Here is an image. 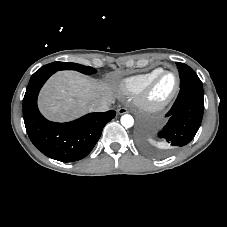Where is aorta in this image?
<instances>
[{"mask_svg": "<svg viewBox=\"0 0 227 227\" xmlns=\"http://www.w3.org/2000/svg\"><path fill=\"white\" fill-rule=\"evenodd\" d=\"M121 124L126 128H130L134 124V119L131 115L125 114L121 117Z\"/></svg>", "mask_w": 227, "mask_h": 227, "instance_id": "1", "label": "aorta"}]
</instances>
